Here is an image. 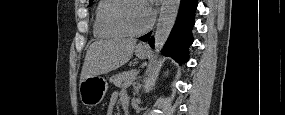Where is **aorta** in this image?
<instances>
[{
  "instance_id": "762f6f07",
  "label": "aorta",
  "mask_w": 285,
  "mask_h": 115,
  "mask_svg": "<svg viewBox=\"0 0 285 115\" xmlns=\"http://www.w3.org/2000/svg\"><path fill=\"white\" fill-rule=\"evenodd\" d=\"M180 6V0H163L162 7L160 11V15L157 22V27L154 35L155 40V51L159 53L176 20L178 9ZM151 75H149L145 80V86H147L150 83Z\"/></svg>"
}]
</instances>
